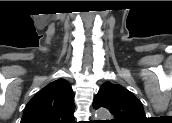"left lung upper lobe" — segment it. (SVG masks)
I'll return each instance as SVG.
<instances>
[{"label": "left lung upper lobe", "instance_id": "obj_1", "mask_svg": "<svg viewBox=\"0 0 172 123\" xmlns=\"http://www.w3.org/2000/svg\"><path fill=\"white\" fill-rule=\"evenodd\" d=\"M93 107L107 108L114 116L112 123H144L146 121L140 100L122 85L104 83L94 98Z\"/></svg>", "mask_w": 172, "mask_h": 123}]
</instances>
